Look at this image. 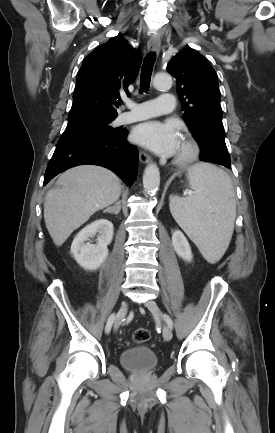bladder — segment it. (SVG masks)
I'll return each instance as SVG.
<instances>
[{
    "label": "bladder",
    "instance_id": "1",
    "mask_svg": "<svg viewBox=\"0 0 275 433\" xmlns=\"http://www.w3.org/2000/svg\"><path fill=\"white\" fill-rule=\"evenodd\" d=\"M121 366L132 372H148L158 365L156 353L148 346L136 345L124 349L119 355Z\"/></svg>",
    "mask_w": 275,
    "mask_h": 433
}]
</instances>
